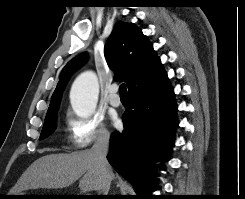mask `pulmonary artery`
<instances>
[{
    "label": "pulmonary artery",
    "instance_id": "obj_1",
    "mask_svg": "<svg viewBox=\"0 0 245 199\" xmlns=\"http://www.w3.org/2000/svg\"><path fill=\"white\" fill-rule=\"evenodd\" d=\"M118 92V86L116 84H113L109 88V96H108V102L113 107H119L121 105V99L117 94Z\"/></svg>",
    "mask_w": 245,
    "mask_h": 199
}]
</instances>
